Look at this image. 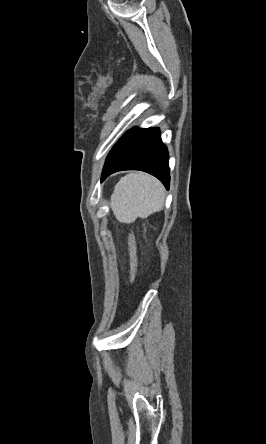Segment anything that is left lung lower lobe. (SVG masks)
Returning <instances> with one entry per match:
<instances>
[{
	"label": "left lung lower lobe",
	"instance_id": "obj_1",
	"mask_svg": "<svg viewBox=\"0 0 266 444\" xmlns=\"http://www.w3.org/2000/svg\"><path fill=\"white\" fill-rule=\"evenodd\" d=\"M169 156L157 128H133L110 151L101 176L121 170H141L157 177L169 189Z\"/></svg>",
	"mask_w": 266,
	"mask_h": 444
}]
</instances>
